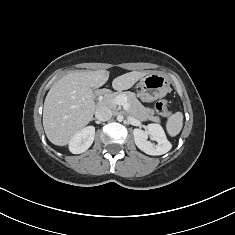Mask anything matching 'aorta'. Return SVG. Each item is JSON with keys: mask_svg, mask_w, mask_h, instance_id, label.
<instances>
[{"mask_svg": "<svg viewBox=\"0 0 235 235\" xmlns=\"http://www.w3.org/2000/svg\"><path fill=\"white\" fill-rule=\"evenodd\" d=\"M117 120H118L119 122L123 121V116H122V115H118V116H117Z\"/></svg>", "mask_w": 235, "mask_h": 235, "instance_id": "1", "label": "aorta"}]
</instances>
